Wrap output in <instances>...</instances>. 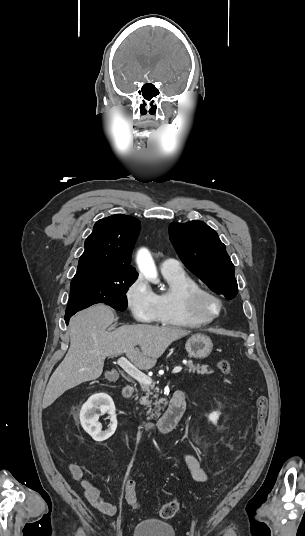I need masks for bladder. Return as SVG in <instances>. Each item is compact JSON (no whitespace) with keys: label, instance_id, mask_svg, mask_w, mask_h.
Segmentation results:
<instances>
[{"label":"bladder","instance_id":"31cf9c89","mask_svg":"<svg viewBox=\"0 0 305 536\" xmlns=\"http://www.w3.org/2000/svg\"><path fill=\"white\" fill-rule=\"evenodd\" d=\"M175 536L172 522L155 517L143 518L132 527V536Z\"/></svg>","mask_w":305,"mask_h":536}]
</instances>
